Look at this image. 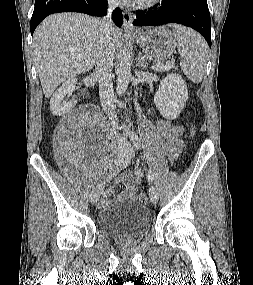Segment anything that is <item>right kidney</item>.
Wrapping results in <instances>:
<instances>
[{
    "label": "right kidney",
    "instance_id": "1",
    "mask_svg": "<svg viewBox=\"0 0 253 285\" xmlns=\"http://www.w3.org/2000/svg\"><path fill=\"white\" fill-rule=\"evenodd\" d=\"M77 83V78L71 77L66 80L59 89L52 95L50 100V110L53 115L62 116L70 112L76 105V100L62 102L67 94H71Z\"/></svg>",
    "mask_w": 253,
    "mask_h": 285
}]
</instances>
